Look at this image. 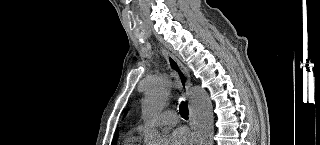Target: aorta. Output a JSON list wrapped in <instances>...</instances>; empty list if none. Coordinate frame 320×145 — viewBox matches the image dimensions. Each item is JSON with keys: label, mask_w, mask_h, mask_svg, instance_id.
Segmentation results:
<instances>
[{"label": "aorta", "mask_w": 320, "mask_h": 145, "mask_svg": "<svg viewBox=\"0 0 320 145\" xmlns=\"http://www.w3.org/2000/svg\"><path fill=\"white\" fill-rule=\"evenodd\" d=\"M171 84L167 77H153L148 84L142 103L143 115L148 121L147 145H162L161 134L151 126L153 119L165 108ZM193 125L196 145H213V107L205 90L196 87L192 92Z\"/></svg>", "instance_id": "aorta-1"}]
</instances>
